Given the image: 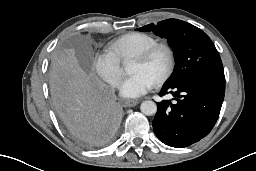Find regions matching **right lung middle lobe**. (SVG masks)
<instances>
[{
	"label": "right lung middle lobe",
	"instance_id": "dd1d6c3e",
	"mask_svg": "<svg viewBox=\"0 0 256 171\" xmlns=\"http://www.w3.org/2000/svg\"><path fill=\"white\" fill-rule=\"evenodd\" d=\"M73 81L55 74L51 83V92L54 102L65 99L73 94Z\"/></svg>",
	"mask_w": 256,
	"mask_h": 171
}]
</instances>
